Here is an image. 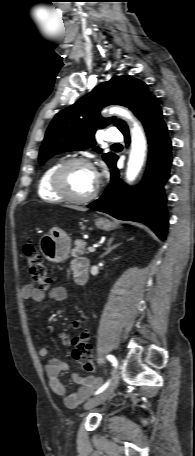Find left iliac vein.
Instances as JSON below:
<instances>
[{"instance_id": "obj_1", "label": "left iliac vein", "mask_w": 195, "mask_h": 456, "mask_svg": "<svg viewBox=\"0 0 195 456\" xmlns=\"http://www.w3.org/2000/svg\"><path fill=\"white\" fill-rule=\"evenodd\" d=\"M118 383H119V374L117 372H115L113 379H112L111 383L108 385V387L103 392H101L99 395H97L96 397L88 400L84 404V409L85 410L92 409V408L102 404L106 400H108L110 398V396L113 394L116 387L118 386Z\"/></svg>"}]
</instances>
